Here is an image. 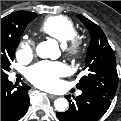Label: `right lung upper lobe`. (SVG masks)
I'll use <instances>...</instances> for the list:
<instances>
[{
    "label": "right lung upper lobe",
    "instance_id": "1",
    "mask_svg": "<svg viewBox=\"0 0 121 121\" xmlns=\"http://www.w3.org/2000/svg\"><path fill=\"white\" fill-rule=\"evenodd\" d=\"M33 14V12L28 11H17L5 16L4 18H1V31L6 30L10 26H13L21 22L22 20L32 16Z\"/></svg>",
    "mask_w": 121,
    "mask_h": 121
}]
</instances>
